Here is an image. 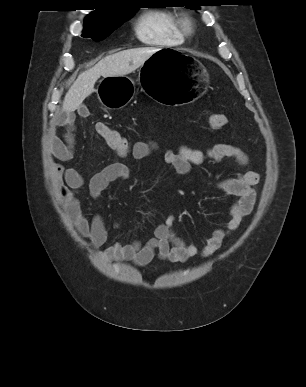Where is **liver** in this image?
Returning <instances> with one entry per match:
<instances>
[{"label": "liver", "mask_w": 306, "mask_h": 387, "mask_svg": "<svg viewBox=\"0 0 306 387\" xmlns=\"http://www.w3.org/2000/svg\"><path fill=\"white\" fill-rule=\"evenodd\" d=\"M158 50L149 47L128 49L101 59L94 67L78 76L65 95L63 111L69 113L79 109L84 99L95 91L94 85L100 76L107 78L129 74Z\"/></svg>", "instance_id": "6515ba94"}]
</instances>
